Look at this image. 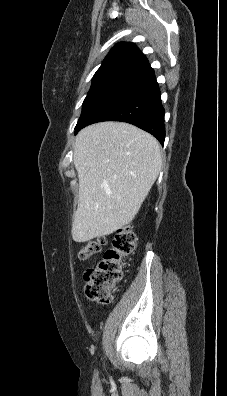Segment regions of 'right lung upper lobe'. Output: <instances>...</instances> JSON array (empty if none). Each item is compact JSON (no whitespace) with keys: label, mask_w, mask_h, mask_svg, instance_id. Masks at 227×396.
Masks as SVG:
<instances>
[{"label":"right lung upper lobe","mask_w":227,"mask_h":396,"mask_svg":"<svg viewBox=\"0 0 227 396\" xmlns=\"http://www.w3.org/2000/svg\"><path fill=\"white\" fill-rule=\"evenodd\" d=\"M147 63L148 60L145 55L133 43L121 42L111 49L97 72L114 69L134 72Z\"/></svg>","instance_id":"obj_1"}]
</instances>
